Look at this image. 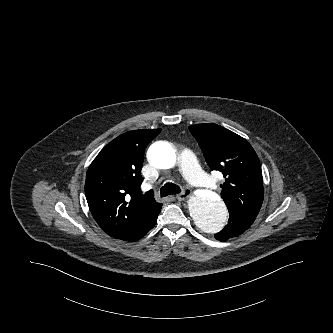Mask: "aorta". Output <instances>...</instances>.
<instances>
[{
  "label": "aorta",
  "mask_w": 333,
  "mask_h": 333,
  "mask_svg": "<svg viewBox=\"0 0 333 333\" xmlns=\"http://www.w3.org/2000/svg\"><path fill=\"white\" fill-rule=\"evenodd\" d=\"M148 160L156 168L169 169L176 164V154L169 143L157 142L149 148ZM188 209L197 227L210 234L223 230L228 220L223 200L210 191L192 196Z\"/></svg>",
  "instance_id": "obj_1"
}]
</instances>
